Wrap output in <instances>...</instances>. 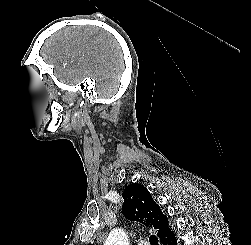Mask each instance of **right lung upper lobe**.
<instances>
[{
	"label": "right lung upper lobe",
	"mask_w": 251,
	"mask_h": 245,
	"mask_svg": "<svg viewBox=\"0 0 251 245\" xmlns=\"http://www.w3.org/2000/svg\"><path fill=\"white\" fill-rule=\"evenodd\" d=\"M122 197L123 215L131 221H139L144 225L157 229L160 241L172 232L168 227V219L161 212L158 204L154 202L150 192L141 184L128 185Z\"/></svg>",
	"instance_id": "cb5924a9"
}]
</instances>
